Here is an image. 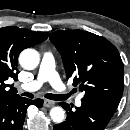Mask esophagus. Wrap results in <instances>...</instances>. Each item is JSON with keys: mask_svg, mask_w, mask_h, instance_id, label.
Listing matches in <instances>:
<instances>
[{"mask_svg": "<svg viewBox=\"0 0 130 130\" xmlns=\"http://www.w3.org/2000/svg\"><path fill=\"white\" fill-rule=\"evenodd\" d=\"M55 104H56V102L55 101H51V100H44V106L45 107H48V108H50V107H53V106H55Z\"/></svg>", "mask_w": 130, "mask_h": 130, "instance_id": "34e87169", "label": "esophagus"}]
</instances>
